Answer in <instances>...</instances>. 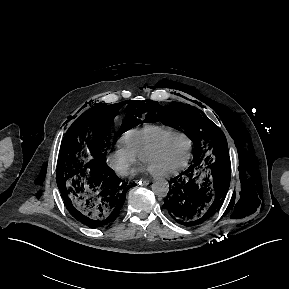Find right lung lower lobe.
I'll return each mask as SVG.
<instances>
[{"instance_id":"98d812e1","label":"right lung lower lobe","mask_w":289,"mask_h":289,"mask_svg":"<svg viewBox=\"0 0 289 289\" xmlns=\"http://www.w3.org/2000/svg\"><path fill=\"white\" fill-rule=\"evenodd\" d=\"M123 183L104 162L82 169L60 193L70 214L90 228H107L118 219L126 192Z\"/></svg>"}]
</instances>
